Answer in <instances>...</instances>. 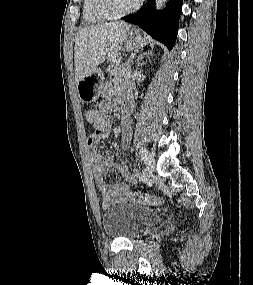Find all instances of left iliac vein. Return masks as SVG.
I'll list each match as a JSON object with an SVG mask.
<instances>
[{
  "instance_id": "1",
  "label": "left iliac vein",
  "mask_w": 253,
  "mask_h": 285,
  "mask_svg": "<svg viewBox=\"0 0 253 285\" xmlns=\"http://www.w3.org/2000/svg\"><path fill=\"white\" fill-rule=\"evenodd\" d=\"M155 171V159L152 154H149L145 160V176L150 178Z\"/></svg>"
}]
</instances>
